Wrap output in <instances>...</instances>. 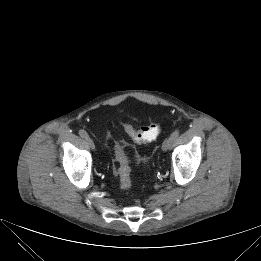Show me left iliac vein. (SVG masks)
<instances>
[{
	"mask_svg": "<svg viewBox=\"0 0 261 261\" xmlns=\"http://www.w3.org/2000/svg\"><path fill=\"white\" fill-rule=\"evenodd\" d=\"M171 145H172V140L169 137V138L164 140L161 148H162L163 151H167L168 149H170Z\"/></svg>",
	"mask_w": 261,
	"mask_h": 261,
	"instance_id": "obj_1",
	"label": "left iliac vein"
}]
</instances>
